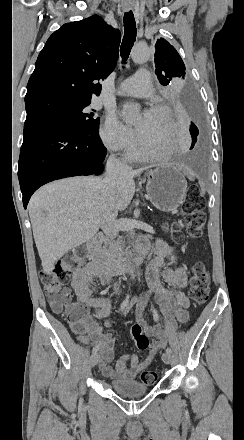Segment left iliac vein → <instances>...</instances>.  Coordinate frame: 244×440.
Returning a JSON list of instances; mask_svg holds the SVG:
<instances>
[{"instance_id": "1", "label": "left iliac vein", "mask_w": 244, "mask_h": 440, "mask_svg": "<svg viewBox=\"0 0 244 440\" xmlns=\"http://www.w3.org/2000/svg\"><path fill=\"white\" fill-rule=\"evenodd\" d=\"M171 359V353L165 352L162 354V360L164 361V363L171 364Z\"/></svg>"}]
</instances>
